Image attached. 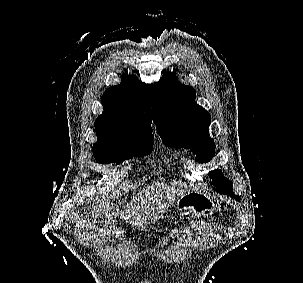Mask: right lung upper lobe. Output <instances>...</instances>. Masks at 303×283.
Returning <instances> with one entry per match:
<instances>
[{
	"mask_svg": "<svg viewBox=\"0 0 303 283\" xmlns=\"http://www.w3.org/2000/svg\"><path fill=\"white\" fill-rule=\"evenodd\" d=\"M152 85L133 75L122 77L117 86L102 96L103 113L95 121L96 132L124 130L134 126H151Z\"/></svg>",
	"mask_w": 303,
	"mask_h": 283,
	"instance_id": "obj_1",
	"label": "right lung upper lobe"
}]
</instances>
